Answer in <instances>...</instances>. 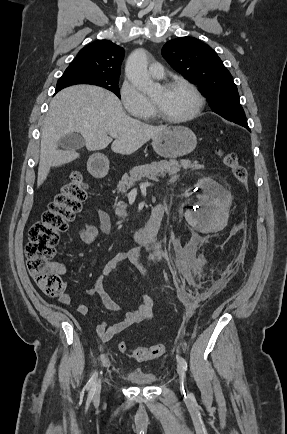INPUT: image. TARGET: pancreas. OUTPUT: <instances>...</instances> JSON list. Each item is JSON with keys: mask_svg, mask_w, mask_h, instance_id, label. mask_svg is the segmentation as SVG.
I'll use <instances>...</instances> for the list:
<instances>
[{"mask_svg": "<svg viewBox=\"0 0 287 434\" xmlns=\"http://www.w3.org/2000/svg\"><path fill=\"white\" fill-rule=\"evenodd\" d=\"M204 165L199 164L198 161L180 160V162L171 159L169 161L163 160L160 162H152L151 164L141 165L134 167L125 174L121 181L117 185L118 192L127 193V191L134 186L137 181L143 178L150 180H157L159 176H165L166 174L174 175L180 172L181 168L187 169H201ZM115 214L118 217L125 218L127 216V205L123 201L115 203Z\"/></svg>", "mask_w": 287, "mask_h": 434, "instance_id": "1", "label": "pancreas"}]
</instances>
